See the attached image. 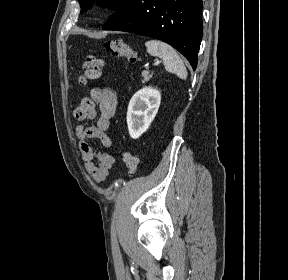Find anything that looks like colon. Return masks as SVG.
Returning a JSON list of instances; mask_svg holds the SVG:
<instances>
[{
  "label": "colon",
  "mask_w": 288,
  "mask_h": 280,
  "mask_svg": "<svg viewBox=\"0 0 288 280\" xmlns=\"http://www.w3.org/2000/svg\"><path fill=\"white\" fill-rule=\"evenodd\" d=\"M107 55L122 58L127 63H135L138 60L137 53L126 42L120 39L108 40L103 44L100 55H90L84 62L79 78L82 84H87L100 77ZM122 161L129 175H134L137 170L138 159L130 152H123Z\"/></svg>",
  "instance_id": "colon-1"
}]
</instances>
